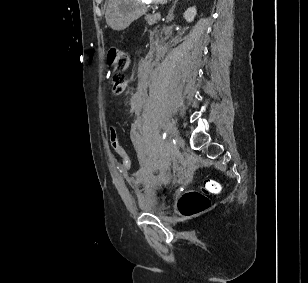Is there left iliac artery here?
Segmentation results:
<instances>
[{
  "mask_svg": "<svg viewBox=\"0 0 308 283\" xmlns=\"http://www.w3.org/2000/svg\"><path fill=\"white\" fill-rule=\"evenodd\" d=\"M168 133H169V129H168V128H165V131H164V133H163V139H165V138L168 136ZM172 138H173V142L175 143V139H174L173 136H172Z\"/></svg>",
  "mask_w": 308,
  "mask_h": 283,
  "instance_id": "1",
  "label": "left iliac artery"
}]
</instances>
